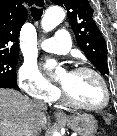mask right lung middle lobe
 <instances>
[{"instance_id": "1", "label": "right lung middle lobe", "mask_w": 117, "mask_h": 136, "mask_svg": "<svg viewBox=\"0 0 117 136\" xmlns=\"http://www.w3.org/2000/svg\"><path fill=\"white\" fill-rule=\"evenodd\" d=\"M18 57H0V81H16Z\"/></svg>"}]
</instances>
